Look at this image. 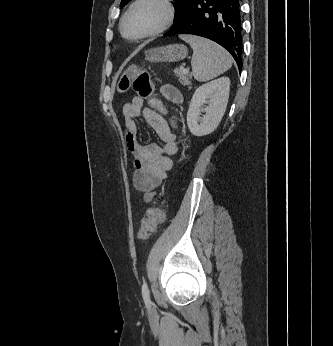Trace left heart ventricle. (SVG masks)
Instances as JSON below:
<instances>
[{
	"label": "left heart ventricle",
	"mask_w": 333,
	"mask_h": 346,
	"mask_svg": "<svg viewBox=\"0 0 333 346\" xmlns=\"http://www.w3.org/2000/svg\"><path fill=\"white\" fill-rule=\"evenodd\" d=\"M165 18V8L155 0L139 3L128 15L124 23V32L135 37L156 29Z\"/></svg>",
	"instance_id": "left-heart-ventricle-1"
}]
</instances>
